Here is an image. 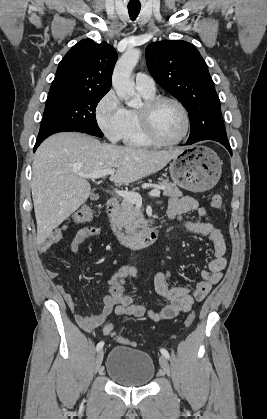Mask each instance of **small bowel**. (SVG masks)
Listing matches in <instances>:
<instances>
[{
  "instance_id": "small-bowel-1",
  "label": "small bowel",
  "mask_w": 267,
  "mask_h": 419,
  "mask_svg": "<svg viewBox=\"0 0 267 419\" xmlns=\"http://www.w3.org/2000/svg\"><path fill=\"white\" fill-rule=\"evenodd\" d=\"M190 212H197L203 220L199 222L184 220V215ZM167 216L170 219L182 221L189 231L205 236L212 242L213 258L208 263L207 268L202 270V280L197 283L193 290H190L185 286H169L168 280L172 277V273L170 271L158 272L154 277L155 291L166 298L169 303L159 311H152L148 310L143 304L135 303L132 297L125 294L124 284L126 280L134 277L137 271L133 266L124 265L107 279L108 293L103 296V307L99 313L93 316H86L77 311L72 295L63 285L57 284V291L74 313L75 320L82 329L91 331L101 326L112 313L136 318L147 316L154 321L171 319L180 313L189 312L194 301L203 300L212 287L220 282L222 272L227 265L226 245L222 233L212 224L205 208L192 197L172 198L168 205ZM67 228V224L57 227L39 245V252L43 253L53 244L59 242ZM101 233L102 229L99 226H88L79 230L71 242L72 252H77L83 242ZM46 272L52 279L57 276V273L51 269H47Z\"/></svg>"
}]
</instances>
